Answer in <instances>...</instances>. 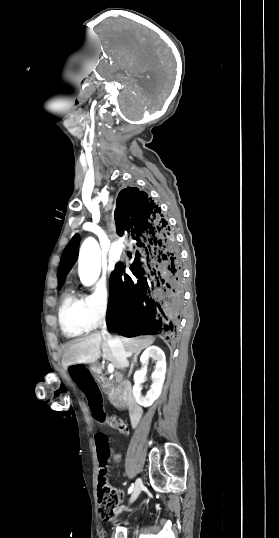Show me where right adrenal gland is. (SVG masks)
Listing matches in <instances>:
<instances>
[{
	"label": "right adrenal gland",
	"instance_id": "obj_1",
	"mask_svg": "<svg viewBox=\"0 0 279 538\" xmlns=\"http://www.w3.org/2000/svg\"><path fill=\"white\" fill-rule=\"evenodd\" d=\"M136 360H137V354H135V356H133V362H132V364L130 366L129 374H131V372H132V370L134 368V364H135Z\"/></svg>",
	"mask_w": 279,
	"mask_h": 538
}]
</instances>
